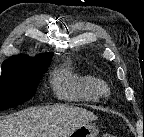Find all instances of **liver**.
<instances>
[{
	"label": "liver",
	"instance_id": "6515ba94",
	"mask_svg": "<svg viewBox=\"0 0 144 137\" xmlns=\"http://www.w3.org/2000/svg\"><path fill=\"white\" fill-rule=\"evenodd\" d=\"M95 120L94 113L80 107H31L1 118L0 137H68L78 127Z\"/></svg>",
	"mask_w": 144,
	"mask_h": 137
}]
</instances>
